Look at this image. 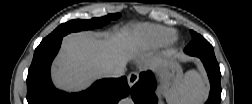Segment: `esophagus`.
I'll return each mask as SVG.
<instances>
[{
  "mask_svg": "<svg viewBox=\"0 0 252 104\" xmlns=\"http://www.w3.org/2000/svg\"><path fill=\"white\" fill-rule=\"evenodd\" d=\"M138 78L137 72H131L127 77L129 87H132L138 81Z\"/></svg>",
  "mask_w": 252,
  "mask_h": 104,
  "instance_id": "obj_1",
  "label": "esophagus"
}]
</instances>
